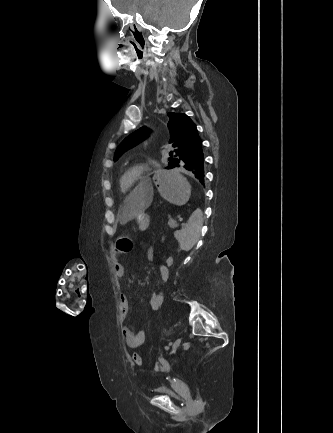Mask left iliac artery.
Segmentation results:
<instances>
[{
  "mask_svg": "<svg viewBox=\"0 0 333 433\" xmlns=\"http://www.w3.org/2000/svg\"><path fill=\"white\" fill-rule=\"evenodd\" d=\"M171 345H172V342L169 343V346H171Z\"/></svg>",
  "mask_w": 333,
  "mask_h": 433,
  "instance_id": "44dca946",
  "label": "left iliac artery"
}]
</instances>
